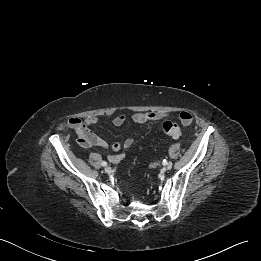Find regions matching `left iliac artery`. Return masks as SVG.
I'll use <instances>...</instances> for the list:
<instances>
[{
	"label": "left iliac artery",
	"instance_id": "1",
	"mask_svg": "<svg viewBox=\"0 0 261 261\" xmlns=\"http://www.w3.org/2000/svg\"><path fill=\"white\" fill-rule=\"evenodd\" d=\"M167 164V161L166 160H163V165H166Z\"/></svg>",
	"mask_w": 261,
	"mask_h": 261
}]
</instances>
